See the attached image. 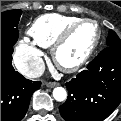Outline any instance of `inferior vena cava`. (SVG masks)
<instances>
[{
	"instance_id": "1",
	"label": "inferior vena cava",
	"mask_w": 121,
	"mask_h": 121,
	"mask_svg": "<svg viewBox=\"0 0 121 121\" xmlns=\"http://www.w3.org/2000/svg\"><path fill=\"white\" fill-rule=\"evenodd\" d=\"M17 69L28 78H38L44 73L45 64L41 58H38L29 64L18 65Z\"/></svg>"
}]
</instances>
